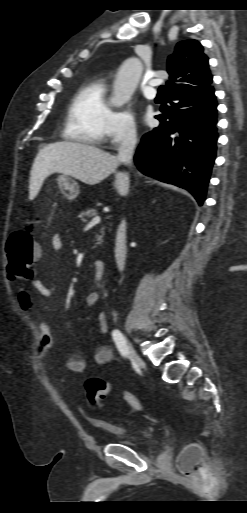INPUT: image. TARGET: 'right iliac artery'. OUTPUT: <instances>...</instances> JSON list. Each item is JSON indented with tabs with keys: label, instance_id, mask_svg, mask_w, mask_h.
<instances>
[{
	"label": "right iliac artery",
	"instance_id": "obj_1",
	"mask_svg": "<svg viewBox=\"0 0 247 513\" xmlns=\"http://www.w3.org/2000/svg\"><path fill=\"white\" fill-rule=\"evenodd\" d=\"M113 340L116 344L117 349L123 357H126L128 354V347L126 344L125 337L119 330H113L112 332Z\"/></svg>",
	"mask_w": 247,
	"mask_h": 513
}]
</instances>
